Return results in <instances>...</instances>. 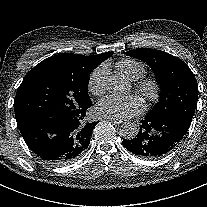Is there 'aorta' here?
<instances>
[{"label":"aorta","instance_id":"obj_1","mask_svg":"<svg viewBox=\"0 0 207 207\" xmlns=\"http://www.w3.org/2000/svg\"><path fill=\"white\" fill-rule=\"evenodd\" d=\"M106 89L114 94H123L129 88V83L127 78L121 73H114L105 78ZM139 133V127L133 122L123 123L120 128V135L125 140H131L137 136Z\"/></svg>","mask_w":207,"mask_h":207}]
</instances>
